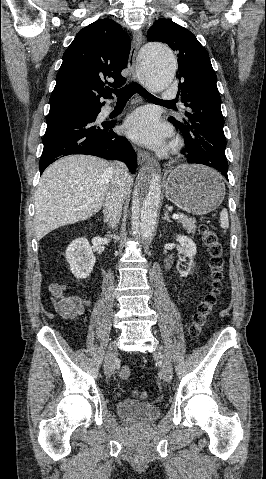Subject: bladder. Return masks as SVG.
I'll use <instances>...</instances> for the list:
<instances>
[{"label":"bladder","instance_id":"obj_1","mask_svg":"<svg viewBox=\"0 0 266 479\" xmlns=\"http://www.w3.org/2000/svg\"><path fill=\"white\" fill-rule=\"evenodd\" d=\"M116 411L119 416L135 423L147 424L155 421L161 413L158 405L134 401L122 400L116 403Z\"/></svg>","mask_w":266,"mask_h":479}]
</instances>
